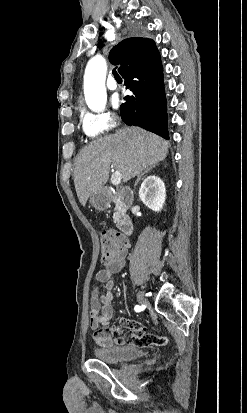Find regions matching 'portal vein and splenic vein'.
I'll list each match as a JSON object with an SVG mask.
<instances>
[{
	"label": "portal vein and splenic vein",
	"instance_id": "18ae733b",
	"mask_svg": "<svg viewBox=\"0 0 247 413\" xmlns=\"http://www.w3.org/2000/svg\"><path fill=\"white\" fill-rule=\"evenodd\" d=\"M122 178V174L120 170H115L111 176V182L112 184H120Z\"/></svg>",
	"mask_w": 247,
	"mask_h": 413
}]
</instances>
